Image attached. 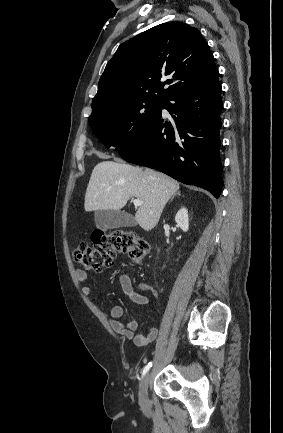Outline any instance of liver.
<instances>
[{
	"label": "liver",
	"instance_id": "6515ba94",
	"mask_svg": "<svg viewBox=\"0 0 283 433\" xmlns=\"http://www.w3.org/2000/svg\"><path fill=\"white\" fill-rule=\"evenodd\" d=\"M179 188V182L151 168L104 160L94 166L86 188L85 210H120L130 196L143 200L135 221L144 231L156 227L161 212Z\"/></svg>",
	"mask_w": 283,
	"mask_h": 433
}]
</instances>
